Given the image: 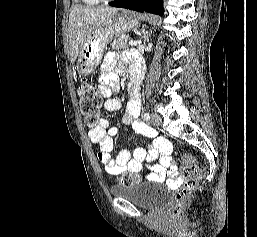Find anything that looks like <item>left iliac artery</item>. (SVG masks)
<instances>
[{"mask_svg":"<svg viewBox=\"0 0 257 237\" xmlns=\"http://www.w3.org/2000/svg\"><path fill=\"white\" fill-rule=\"evenodd\" d=\"M144 118H145V120H147V121H148V120L150 119V115H149V113H147V112H146V113H144Z\"/></svg>","mask_w":257,"mask_h":237,"instance_id":"obj_1","label":"left iliac artery"}]
</instances>
